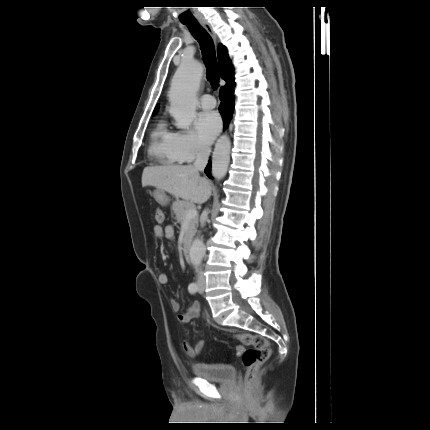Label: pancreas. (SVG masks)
Returning a JSON list of instances; mask_svg holds the SVG:
<instances>
[{"instance_id": "1", "label": "pancreas", "mask_w": 430, "mask_h": 430, "mask_svg": "<svg viewBox=\"0 0 430 430\" xmlns=\"http://www.w3.org/2000/svg\"><path fill=\"white\" fill-rule=\"evenodd\" d=\"M193 207H194L193 204L190 202L179 201V200L175 201L173 203L172 209L175 213V218L177 220V223L182 224L186 220L187 211ZM187 222H188L187 230L185 233L184 240H187L188 238L192 237L196 232V228L198 226V215L187 220Z\"/></svg>"}]
</instances>
